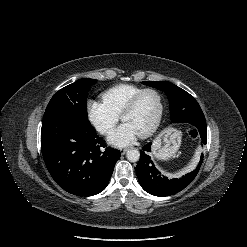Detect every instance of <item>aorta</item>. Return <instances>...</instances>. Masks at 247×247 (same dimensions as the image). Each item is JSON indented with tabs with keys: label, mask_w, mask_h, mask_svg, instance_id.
I'll use <instances>...</instances> for the list:
<instances>
[{
	"label": "aorta",
	"mask_w": 247,
	"mask_h": 247,
	"mask_svg": "<svg viewBox=\"0 0 247 247\" xmlns=\"http://www.w3.org/2000/svg\"><path fill=\"white\" fill-rule=\"evenodd\" d=\"M126 157L130 162H137L140 158V152L136 149H130L127 151Z\"/></svg>",
	"instance_id": "obj_1"
}]
</instances>
